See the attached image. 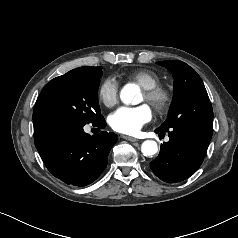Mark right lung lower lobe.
I'll return each mask as SVG.
<instances>
[{"label": "right lung lower lobe", "mask_w": 238, "mask_h": 238, "mask_svg": "<svg viewBox=\"0 0 238 238\" xmlns=\"http://www.w3.org/2000/svg\"><path fill=\"white\" fill-rule=\"evenodd\" d=\"M85 124L54 120L34 123L35 146L53 176L66 184L82 187L95 181L107 165L108 154L117 135L102 131L84 132ZM93 126L104 128L103 119Z\"/></svg>", "instance_id": "right-lung-lower-lobe-1"}]
</instances>
